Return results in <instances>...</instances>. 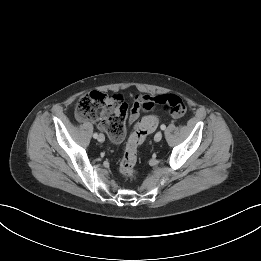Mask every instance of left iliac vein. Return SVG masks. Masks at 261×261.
Instances as JSON below:
<instances>
[{"label": "left iliac vein", "mask_w": 261, "mask_h": 261, "mask_svg": "<svg viewBox=\"0 0 261 261\" xmlns=\"http://www.w3.org/2000/svg\"><path fill=\"white\" fill-rule=\"evenodd\" d=\"M162 139V133L161 132H157L154 136V140L156 142H159Z\"/></svg>", "instance_id": "obj_1"}]
</instances>
